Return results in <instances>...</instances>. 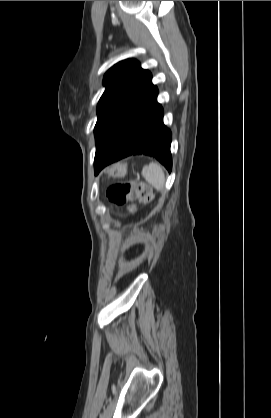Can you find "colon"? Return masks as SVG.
<instances>
[{
	"label": "colon",
	"instance_id": "5ec220e1",
	"mask_svg": "<svg viewBox=\"0 0 271 418\" xmlns=\"http://www.w3.org/2000/svg\"><path fill=\"white\" fill-rule=\"evenodd\" d=\"M151 196L150 187L142 181L118 182L107 189L108 200L116 205H124L135 197L146 203L151 199ZM129 210L134 212L136 208L131 206Z\"/></svg>",
	"mask_w": 271,
	"mask_h": 418
}]
</instances>
